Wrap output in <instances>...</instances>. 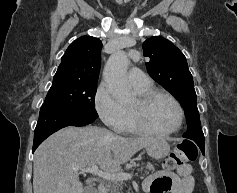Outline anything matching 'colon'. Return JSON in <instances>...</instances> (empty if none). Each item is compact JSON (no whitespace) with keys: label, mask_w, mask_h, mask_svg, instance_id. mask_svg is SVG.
Returning a JSON list of instances; mask_svg holds the SVG:
<instances>
[{"label":"colon","mask_w":237,"mask_h":193,"mask_svg":"<svg viewBox=\"0 0 237 193\" xmlns=\"http://www.w3.org/2000/svg\"><path fill=\"white\" fill-rule=\"evenodd\" d=\"M198 155L197 147L193 142L184 141L179 143L164 161V168L168 171L176 170L179 167L196 160Z\"/></svg>","instance_id":"colon-1"}]
</instances>
